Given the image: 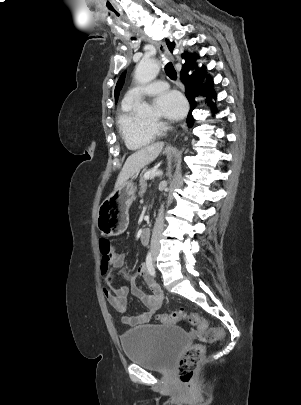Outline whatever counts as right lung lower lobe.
I'll list each match as a JSON object with an SVG mask.
<instances>
[{"label":"right lung lower lobe","instance_id":"right-lung-lower-lobe-1","mask_svg":"<svg viewBox=\"0 0 301 405\" xmlns=\"http://www.w3.org/2000/svg\"><path fill=\"white\" fill-rule=\"evenodd\" d=\"M190 68H196L195 72L192 75H188V69ZM203 79H204V72L199 68H197L195 64L181 71V80L185 85L186 88L185 94L191 106L187 118L188 127H192L194 123V119L191 112L193 111V109L196 107L197 104L195 101V97L198 96L199 94H203L204 96L208 97L210 93H212V96L215 98V93L212 90L213 80L209 76L207 77L206 84L196 86L198 83H201Z\"/></svg>","mask_w":301,"mask_h":405}]
</instances>
